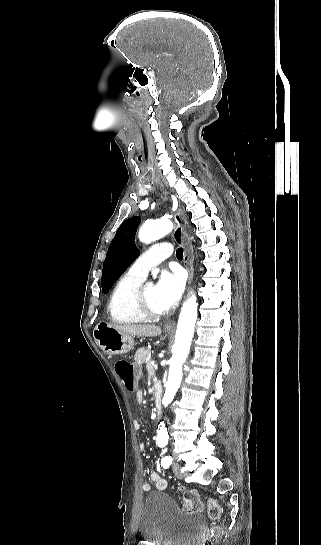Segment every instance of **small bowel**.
Masks as SVG:
<instances>
[{
	"label": "small bowel",
	"mask_w": 321,
	"mask_h": 545,
	"mask_svg": "<svg viewBox=\"0 0 321 545\" xmlns=\"http://www.w3.org/2000/svg\"><path fill=\"white\" fill-rule=\"evenodd\" d=\"M143 399H144L143 393H142L141 391H138V392L136 393V400H137V402H138L139 404H141V403H143ZM134 427H135L136 430H139L140 427H141L140 422H139V421H135V422H134ZM138 447H139V450H140V451H144V449H145V444L142 442V443L139 444ZM150 478H151V480L154 482V484H155V486H156L157 489L163 490V489L166 488L167 482H166V480H165L159 473H157V472H152L151 475H150ZM151 488H152V486H151V484L148 483V482H145V483H143V485H142V489H143L144 491H146V492L150 491Z\"/></svg>",
	"instance_id": "c3829d8e"
}]
</instances>
